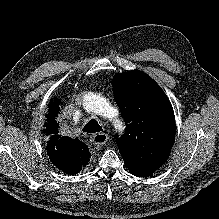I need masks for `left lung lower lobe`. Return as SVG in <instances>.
I'll use <instances>...</instances> for the list:
<instances>
[{
    "label": "left lung lower lobe",
    "instance_id": "0a47b994",
    "mask_svg": "<svg viewBox=\"0 0 219 219\" xmlns=\"http://www.w3.org/2000/svg\"><path fill=\"white\" fill-rule=\"evenodd\" d=\"M156 169H140V170H130V172L137 177H148L152 175Z\"/></svg>",
    "mask_w": 219,
    "mask_h": 219
}]
</instances>
